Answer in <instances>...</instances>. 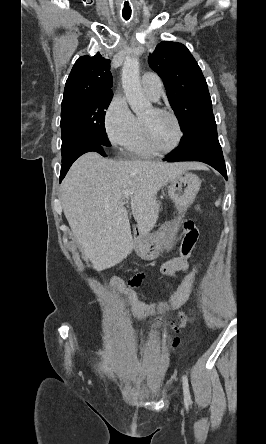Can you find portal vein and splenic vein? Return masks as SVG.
I'll list each match as a JSON object with an SVG mask.
<instances>
[{
  "label": "portal vein and splenic vein",
  "instance_id": "portal-vein-and-splenic-vein-1",
  "mask_svg": "<svg viewBox=\"0 0 266 444\" xmlns=\"http://www.w3.org/2000/svg\"><path fill=\"white\" fill-rule=\"evenodd\" d=\"M130 195H131V191L129 189L124 190V196H125L127 202L129 200Z\"/></svg>",
  "mask_w": 266,
  "mask_h": 444
}]
</instances>
